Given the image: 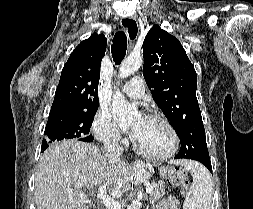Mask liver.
I'll use <instances>...</instances> for the list:
<instances>
[{"label": "liver", "instance_id": "6515ba94", "mask_svg": "<svg viewBox=\"0 0 253 209\" xmlns=\"http://www.w3.org/2000/svg\"><path fill=\"white\" fill-rule=\"evenodd\" d=\"M149 178L144 164L134 171L122 161L112 162L97 146L77 140L51 145L42 155L35 177L37 209H94L82 192L105 186L113 197L122 195L129 182L140 184Z\"/></svg>", "mask_w": 253, "mask_h": 209}]
</instances>
